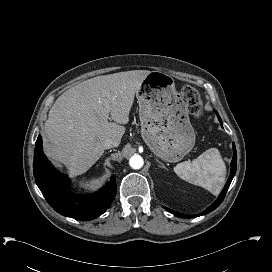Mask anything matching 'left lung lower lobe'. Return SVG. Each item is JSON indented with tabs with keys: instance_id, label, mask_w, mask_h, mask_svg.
<instances>
[{
	"instance_id": "obj_1",
	"label": "left lung lower lobe",
	"mask_w": 272,
	"mask_h": 272,
	"mask_svg": "<svg viewBox=\"0 0 272 272\" xmlns=\"http://www.w3.org/2000/svg\"><path fill=\"white\" fill-rule=\"evenodd\" d=\"M216 114H217V117H218V119H219V121H220V124H221V126H222L221 118H220V116L218 115L217 112H216ZM233 153H234V155H233V160H232V162H231V173H230V177H229V179H228V181H227V183H226V185H225L223 191L221 192V194H220V196L218 197V199H217L211 206H209L202 214L193 215V216H188V215H185V214H181V213L175 212V211H173V210H171V209H168V208H166V210L169 211L170 213L174 214L175 216H178V217H181V218H194V217H197V216H200V215H204V214H206V213H209V212L213 211L215 208H217V207L220 205V203L223 201V199H224V197H225V195H226V192H227V190H228V188H229V186H230V183H231V181H232V179H233V177H234V174H235V172H236V167H237V154H236V148H235L234 143H233Z\"/></svg>"
}]
</instances>
